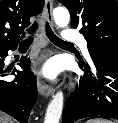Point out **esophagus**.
Instances as JSON below:
<instances>
[{"mask_svg": "<svg viewBox=\"0 0 118 123\" xmlns=\"http://www.w3.org/2000/svg\"><path fill=\"white\" fill-rule=\"evenodd\" d=\"M52 9V0H46L43 9V19L51 25H53ZM37 88L40 95L44 97H49L53 92V87L50 84H47L40 76L37 79Z\"/></svg>", "mask_w": 118, "mask_h": 123, "instance_id": "esophagus-1", "label": "esophagus"}]
</instances>
